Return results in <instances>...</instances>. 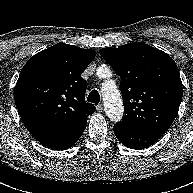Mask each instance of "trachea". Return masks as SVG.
<instances>
[{
  "label": "trachea",
  "mask_w": 193,
  "mask_h": 193,
  "mask_svg": "<svg viewBox=\"0 0 193 193\" xmlns=\"http://www.w3.org/2000/svg\"><path fill=\"white\" fill-rule=\"evenodd\" d=\"M87 101L94 104H98L100 102L99 92L97 90H92L87 97Z\"/></svg>",
  "instance_id": "trachea-1"
}]
</instances>
